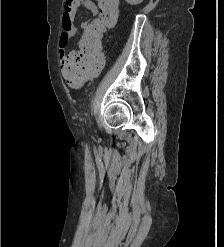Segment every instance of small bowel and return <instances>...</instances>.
<instances>
[{
  "label": "small bowel",
  "instance_id": "1",
  "mask_svg": "<svg viewBox=\"0 0 224 247\" xmlns=\"http://www.w3.org/2000/svg\"><path fill=\"white\" fill-rule=\"evenodd\" d=\"M79 7H84L90 11L92 17L98 14L97 5L92 0H75V5L71 12L62 14V33L59 37V55L61 60L64 62L68 57L65 55V48L68 45L70 38H72L76 32L77 28L75 26V14ZM89 22H83L81 27L86 29Z\"/></svg>",
  "mask_w": 224,
  "mask_h": 247
}]
</instances>
